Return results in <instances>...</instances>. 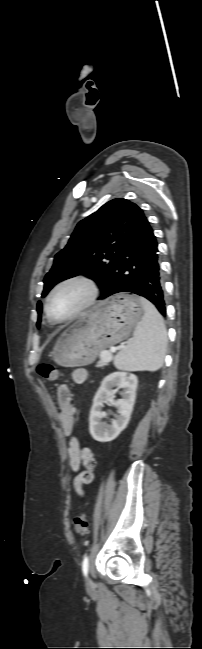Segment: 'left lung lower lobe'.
<instances>
[{"instance_id": "left-lung-lower-lobe-1", "label": "left lung lower lobe", "mask_w": 202, "mask_h": 649, "mask_svg": "<svg viewBox=\"0 0 202 649\" xmlns=\"http://www.w3.org/2000/svg\"><path fill=\"white\" fill-rule=\"evenodd\" d=\"M131 292L150 300L165 316L162 278L156 238L144 217L123 246L112 280L99 299Z\"/></svg>"}]
</instances>
